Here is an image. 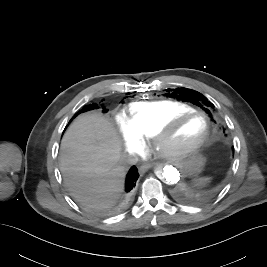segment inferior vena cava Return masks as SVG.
<instances>
[{
    "label": "inferior vena cava",
    "mask_w": 267,
    "mask_h": 267,
    "mask_svg": "<svg viewBox=\"0 0 267 267\" xmlns=\"http://www.w3.org/2000/svg\"><path fill=\"white\" fill-rule=\"evenodd\" d=\"M122 161L127 165H134L139 161V159L136 154L125 153L122 155Z\"/></svg>",
    "instance_id": "obj_1"
}]
</instances>
